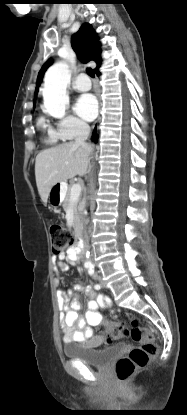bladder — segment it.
Masks as SVG:
<instances>
[{"label": "bladder", "mask_w": 187, "mask_h": 415, "mask_svg": "<svg viewBox=\"0 0 187 415\" xmlns=\"http://www.w3.org/2000/svg\"><path fill=\"white\" fill-rule=\"evenodd\" d=\"M122 351V344H116L102 350H93L82 345H66L63 347L64 355L67 358L81 360L97 368L107 367Z\"/></svg>", "instance_id": "1"}]
</instances>
